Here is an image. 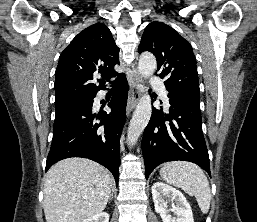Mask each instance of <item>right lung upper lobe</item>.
I'll return each instance as SVG.
<instances>
[{
	"label": "right lung upper lobe",
	"mask_w": 257,
	"mask_h": 222,
	"mask_svg": "<svg viewBox=\"0 0 257 222\" xmlns=\"http://www.w3.org/2000/svg\"><path fill=\"white\" fill-rule=\"evenodd\" d=\"M119 48L110 30L103 23L93 24L81 31L59 57L55 78V104L91 98L105 83L96 86L95 74L111 78L120 75Z\"/></svg>",
	"instance_id": "cb5924a9"
}]
</instances>
